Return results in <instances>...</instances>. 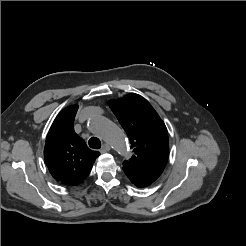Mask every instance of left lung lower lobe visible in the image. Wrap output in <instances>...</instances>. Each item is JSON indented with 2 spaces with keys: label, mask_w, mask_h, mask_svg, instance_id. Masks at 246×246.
<instances>
[{
  "label": "left lung lower lobe",
  "mask_w": 246,
  "mask_h": 246,
  "mask_svg": "<svg viewBox=\"0 0 246 246\" xmlns=\"http://www.w3.org/2000/svg\"><path fill=\"white\" fill-rule=\"evenodd\" d=\"M125 174L127 175V177L131 180V182L136 186V187H139V188H142V187H147L149 186L151 183L141 177H138L134 174H131V173H127L125 172Z\"/></svg>",
  "instance_id": "1"
}]
</instances>
